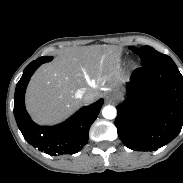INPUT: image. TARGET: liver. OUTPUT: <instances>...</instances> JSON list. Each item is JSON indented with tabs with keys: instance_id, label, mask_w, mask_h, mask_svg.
<instances>
[{
	"instance_id": "1",
	"label": "liver",
	"mask_w": 183,
	"mask_h": 183,
	"mask_svg": "<svg viewBox=\"0 0 183 183\" xmlns=\"http://www.w3.org/2000/svg\"><path fill=\"white\" fill-rule=\"evenodd\" d=\"M120 71V54L113 47L68 50L33 75L26 92L27 109L39 123L60 121L80 106L79 90L91 89L97 98L104 86L113 88L121 81Z\"/></svg>"
}]
</instances>
